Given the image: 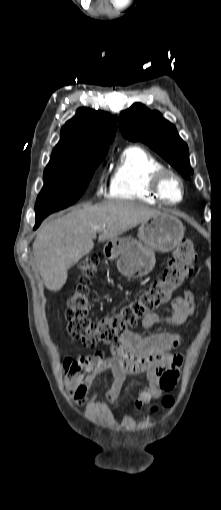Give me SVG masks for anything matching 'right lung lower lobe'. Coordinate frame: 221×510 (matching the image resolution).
Segmentation results:
<instances>
[{"label": "right lung lower lobe", "instance_id": "1", "mask_svg": "<svg viewBox=\"0 0 221 510\" xmlns=\"http://www.w3.org/2000/svg\"><path fill=\"white\" fill-rule=\"evenodd\" d=\"M46 216H38L36 217V224H35V227L34 229H36L42 222V220L45 218Z\"/></svg>", "mask_w": 221, "mask_h": 510}]
</instances>
